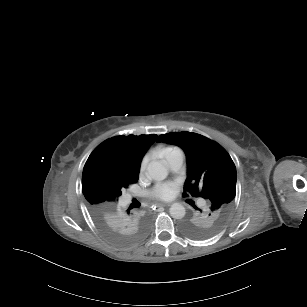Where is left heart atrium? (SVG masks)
Instances as JSON below:
<instances>
[{"instance_id": "left-heart-atrium-1", "label": "left heart atrium", "mask_w": 307, "mask_h": 307, "mask_svg": "<svg viewBox=\"0 0 307 307\" xmlns=\"http://www.w3.org/2000/svg\"><path fill=\"white\" fill-rule=\"evenodd\" d=\"M171 194L172 190L167 185H163L154 191V195L162 199L170 197Z\"/></svg>"}]
</instances>
